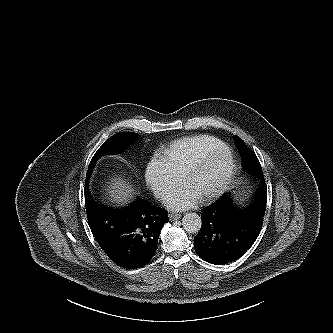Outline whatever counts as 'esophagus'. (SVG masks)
<instances>
[{"mask_svg": "<svg viewBox=\"0 0 333 333\" xmlns=\"http://www.w3.org/2000/svg\"><path fill=\"white\" fill-rule=\"evenodd\" d=\"M180 217H181V214H176V213L169 214L170 221L178 220V219H180Z\"/></svg>", "mask_w": 333, "mask_h": 333, "instance_id": "1", "label": "esophagus"}]
</instances>
